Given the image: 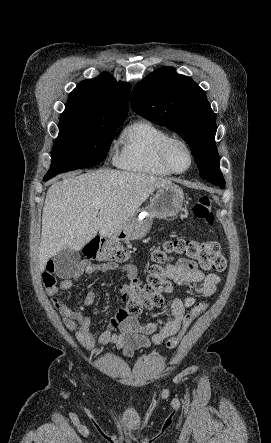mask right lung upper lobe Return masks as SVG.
<instances>
[{"instance_id":"1","label":"right lung upper lobe","mask_w":271,"mask_h":443,"mask_svg":"<svg viewBox=\"0 0 271 443\" xmlns=\"http://www.w3.org/2000/svg\"><path fill=\"white\" fill-rule=\"evenodd\" d=\"M131 86L103 73L80 82L69 94L63 113L86 118L125 117Z\"/></svg>"}]
</instances>
